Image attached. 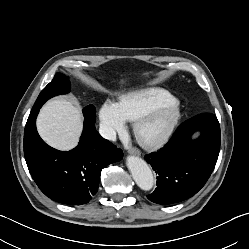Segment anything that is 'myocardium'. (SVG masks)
Listing matches in <instances>:
<instances>
[{"label":"myocardium","mask_w":249,"mask_h":249,"mask_svg":"<svg viewBox=\"0 0 249 249\" xmlns=\"http://www.w3.org/2000/svg\"><path fill=\"white\" fill-rule=\"evenodd\" d=\"M159 114H164L166 120L164 124L153 132L145 136L142 133L143 127ZM180 118V103L177 99H172L160 103L141 114L134 123V133L137 138L147 146H156L164 142L173 132Z\"/></svg>","instance_id":"myocardium-1"}]
</instances>
